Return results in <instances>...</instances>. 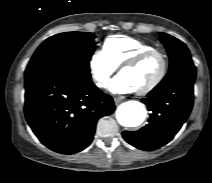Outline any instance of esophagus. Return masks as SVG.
Here are the masks:
<instances>
[{"label":"esophagus","instance_id":"1","mask_svg":"<svg viewBox=\"0 0 212 183\" xmlns=\"http://www.w3.org/2000/svg\"><path fill=\"white\" fill-rule=\"evenodd\" d=\"M114 102H115L116 105H118L121 102V99L120 98H114Z\"/></svg>","mask_w":212,"mask_h":183}]
</instances>
